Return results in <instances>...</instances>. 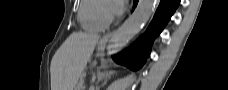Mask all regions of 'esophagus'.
Returning a JSON list of instances; mask_svg holds the SVG:
<instances>
[{
	"label": "esophagus",
	"instance_id": "34e87169",
	"mask_svg": "<svg viewBox=\"0 0 228 90\" xmlns=\"http://www.w3.org/2000/svg\"><path fill=\"white\" fill-rule=\"evenodd\" d=\"M113 35V32L107 33L106 35L103 36V38L101 39V42H107L111 36Z\"/></svg>",
	"mask_w": 228,
	"mask_h": 90
}]
</instances>
